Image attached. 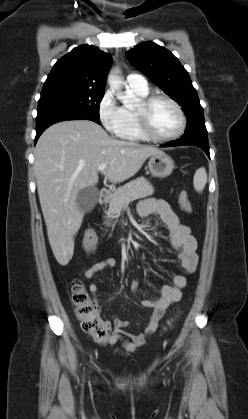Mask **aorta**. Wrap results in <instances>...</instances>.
Masks as SVG:
<instances>
[{
  "mask_svg": "<svg viewBox=\"0 0 248 419\" xmlns=\"http://www.w3.org/2000/svg\"><path fill=\"white\" fill-rule=\"evenodd\" d=\"M117 72L118 71L116 69L110 71L108 75L109 86L111 90L115 93L117 99L120 100L125 107L130 108L134 103V97L128 96L121 91L122 81L120 77L117 75Z\"/></svg>",
  "mask_w": 248,
  "mask_h": 419,
  "instance_id": "aorta-1",
  "label": "aorta"
}]
</instances>
